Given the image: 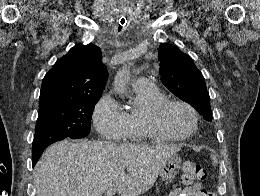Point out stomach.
<instances>
[{"instance_id": "1", "label": "stomach", "mask_w": 260, "mask_h": 196, "mask_svg": "<svg viewBox=\"0 0 260 196\" xmlns=\"http://www.w3.org/2000/svg\"><path fill=\"white\" fill-rule=\"evenodd\" d=\"M181 166V158L178 156V154H174L172 158H169L167 162H165L163 168L160 170V178L163 180V182H167V184H170V182H173L175 176H177Z\"/></svg>"}]
</instances>
